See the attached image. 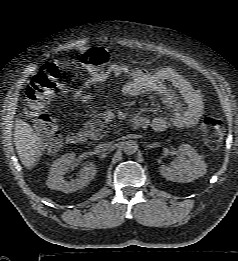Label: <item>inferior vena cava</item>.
I'll use <instances>...</instances> for the list:
<instances>
[{"label":"inferior vena cava","instance_id":"inferior-vena-cava-1","mask_svg":"<svg viewBox=\"0 0 238 261\" xmlns=\"http://www.w3.org/2000/svg\"><path fill=\"white\" fill-rule=\"evenodd\" d=\"M110 147L109 143H101L95 147L96 152L106 151Z\"/></svg>","mask_w":238,"mask_h":261}]
</instances>
